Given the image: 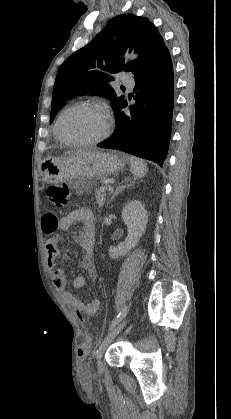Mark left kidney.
Here are the masks:
<instances>
[{"instance_id": "1", "label": "left kidney", "mask_w": 231, "mask_h": 419, "mask_svg": "<svg viewBox=\"0 0 231 419\" xmlns=\"http://www.w3.org/2000/svg\"><path fill=\"white\" fill-rule=\"evenodd\" d=\"M122 218L128 227V236L118 246L109 248V255L112 259L126 255L132 247H135L139 242V238L145 233L148 223V213L144 205L137 200L129 202L123 208Z\"/></svg>"}]
</instances>
